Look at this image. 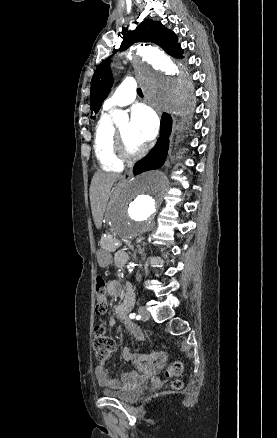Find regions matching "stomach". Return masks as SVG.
Wrapping results in <instances>:
<instances>
[{
	"mask_svg": "<svg viewBox=\"0 0 277 438\" xmlns=\"http://www.w3.org/2000/svg\"><path fill=\"white\" fill-rule=\"evenodd\" d=\"M97 260L101 267H107L112 263V256L110 252L105 250H100L97 253Z\"/></svg>",
	"mask_w": 277,
	"mask_h": 438,
	"instance_id": "stomach-1",
	"label": "stomach"
}]
</instances>
